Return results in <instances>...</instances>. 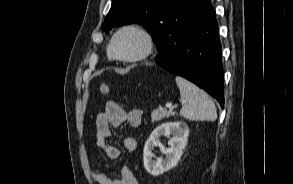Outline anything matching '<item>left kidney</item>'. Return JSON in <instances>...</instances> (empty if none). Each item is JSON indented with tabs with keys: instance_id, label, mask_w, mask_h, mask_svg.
Segmentation results:
<instances>
[{
	"instance_id": "1",
	"label": "left kidney",
	"mask_w": 293,
	"mask_h": 184,
	"mask_svg": "<svg viewBox=\"0 0 293 184\" xmlns=\"http://www.w3.org/2000/svg\"><path fill=\"white\" fill-rule=\"evenodd\" d=\"M163 135L167 137L172 135L168 141V148L160 142V137ZM188 136L189 128L184 122H168L159 125L151 133L144 146L143 162L146 171L153 176H159L175 167L187 145ZM157 146L166 157L165 159L157 158L154 161L152 150Z\"/></svg>"
}]
</instances>
